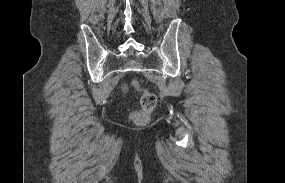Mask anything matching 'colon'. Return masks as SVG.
Instances as JSON below:
<instances>
[{"label": "colon", "mask_w": 285, "mask_h": 183, "mask_svg": "<svg viewBox=\"0 0 285 183\" xmlns=\"http://www.w3.org/2000/svg\"><path fill=\"white\" fill-rule=\"evenodd\" d=\"M156 104H157V98L155 94L143 90L141 97V110L134 111L130 115L133 123L136 125L147 124L150 119V114L156 107Z\"/></svg>", "instance_id": "obj_1"}]
</instances>
